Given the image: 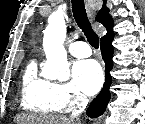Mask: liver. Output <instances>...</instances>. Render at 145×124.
I'll list each match as a JSON object with an SVG mask.
<instances>
[{"instance_id":"6515ba94","label":"liver","mask_w":145,"mask_h":124,"mask_svg":"<svg viewBox=\"0 0 145 124\" xmlns=\"http://www.w3.org/2000/svg\"><path fill=\"white\" fill-rule=\"evenodd\" d=\"M17 124H74L73 120L65 117L22 114L16 118Z\"/></svg>"}]
</instances>
